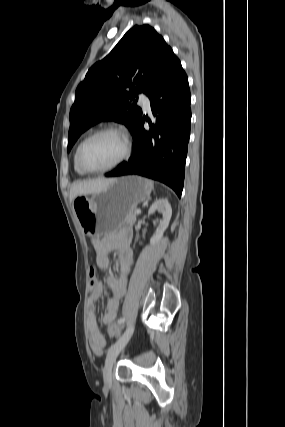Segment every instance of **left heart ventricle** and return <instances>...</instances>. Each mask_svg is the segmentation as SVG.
<instances>
[{"label":"left heart ventricle","mask_w":285,"mask_h":427,"mask_svg":"<svg viewBox=\"0 0 285 427\" xmlns=\"http://www.w3.org/2000/svg\"><path fill=\"white\" fill-rule=\"evenodd\" d=\"M125 141L116 133H105L92 139L84 148L82 159L86 167L100 169L114 163L123 153Z\"/></svg>","instance_id":"1"}]
</instances>
